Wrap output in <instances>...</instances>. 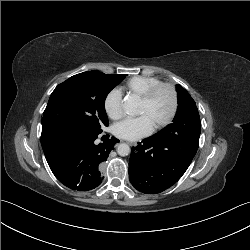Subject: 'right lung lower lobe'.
<instances>
[{"instance_id": "1", "label": "right lung lower lobe", "mask_w": 250, "mask_h": 250, "mask_svg": "<svg viewBox=\"0 0 250 250\" xmlns=\"http://www.w3.org/2000/svg\"><path fill=\"white\" fill-rule=\"evenodd\" d=\"M98 135L72 128L42 131L41 144L46 160L62 184L79 191L101 184L102 163L119 140L112 137L96 145Z\"/></svg>"}]
</instances>
